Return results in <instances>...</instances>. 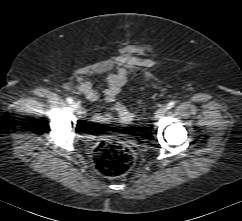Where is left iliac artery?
<instances>
[{"instance_id":"44dca946","label":"left iliac artery","mask_w":242,"mask_h":221,"mask_svg":"<svg viewBox=\"0 0 242 221\" xmlns=\"http://www.w3.org/2000/svg\"><path fill=\"white\" fill-rule=\"evenodd\" d=\"M175 106V102L174 101H171V102H169L168 104H167V108L168 109H171V108H173Z\"/></svg>"}]
</instances>
